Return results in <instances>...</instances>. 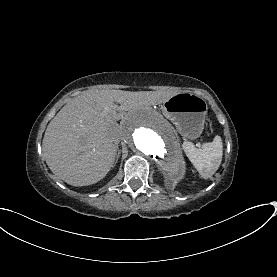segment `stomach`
<instances>
[{"mask_svg":"<svg viewBox=\"0 0 277 277\" xmlns=\"http://www.w3.org/2000/svg\"><path fill=\"white\" fill-rule=\"evenodd\" d=\"M162 112L186 138H197L204 129L205 101L192 93H178L162 105Z\"/></svg>","mask_w":277,"mask_h":277,"instance_id":"1","label":"stomach"}]
</instances>
